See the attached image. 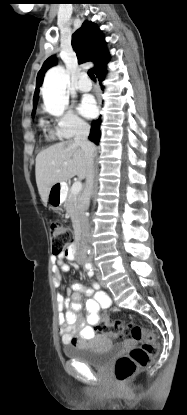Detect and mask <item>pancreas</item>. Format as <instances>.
<instances>
[{"mask_svg": "<svg viewBox=\"0 0 187 415\" xmlns=\"http://www.w3.org/2000/svg\"><path fill=\"white\" fill-rule=\"evenodd\" d=\"M64 208L71 217L73 227L78 226V199L71 190L68 191L67 198L64 202Z\"/></svg>", "mask_w": 187, "mask_h": 415, "instance_id": "cf45deb5", "label": "pancreas"}]
</instances>
